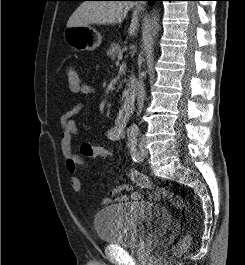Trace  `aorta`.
I'll list each match as a JSON object with an SVG mask.
<instances>
[{
  "label": "aorta",
  "mask_w": 245,
  "mask_h": 265,
  "mask_svg": "<svg viewBox=\"0 0 245 265\" xmlns=\"http://www.w3.org/2000/svg\"><path fill=\"white\" fill-rule=\"evenodd\" d=\"M159 16L157 15V12L154 11L150 20L149 30L150 34L155 38L157 36V33L159 31Z\"/></svg>",
  "instance_id": "762f6f07"
}]
</instances>
